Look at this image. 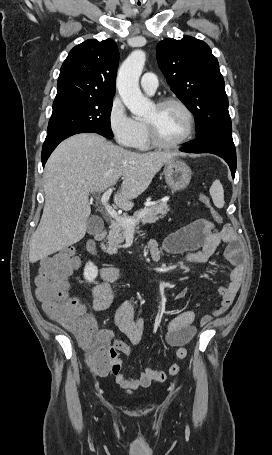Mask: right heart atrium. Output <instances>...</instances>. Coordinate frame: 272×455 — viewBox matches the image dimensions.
Masks as SVG:
<instances>
[{
  "mask_svg": "<svg viewBox=\"0 0 272 455\" xmlns=\"http://www.w3.org/2000/svg\"><path fill=\"white\" fill-rule=\"evenodd\" d=\"M108 126L114 140L120 146L134 147L139 134L140 125L131 117L119 97H114L108 109Z\"/></svg>",
  "mask_w": 272,
  "mask_h": 455,
  "instance_id": "obj_1",
  "label": "right heart atrium"
}]
</instances>
